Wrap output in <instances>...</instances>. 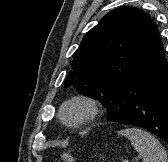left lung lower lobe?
<instances>
[{
	"label": "left lung lower lobe",
	"mask_w": 168,
	"mask_h": 162,
	"mask_svg": "<svg viewBox=\"0 0 168 162\" xmlns=\"http://www.w3.org/2000/svg\"><path fill=\"white\" fill-rule=\"evenodd\" d=\"M107 119L138 126L168 142V63L159 40L114 89Z\"/></svg>",
	"instance_id": "0a47b994"
}]
</instances>
